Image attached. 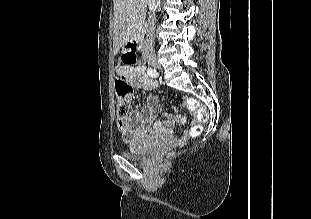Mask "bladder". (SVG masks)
<instances>
[{
  "mask_svg": "<svg viewBox=\"0 0 311 219\" xmlns=\"http://www.w3.org/2000/svg\"><path fill=\"white\" fill-rule=\"evenodd\" d=\"M152 148L150 146L143 145L141 142L130 143L128 149L123 152V156L127 159L138 160L142 157L150 154Z\"/></svg>",
  "mask_w": 311,
  "mask_h": 219,
  "instance_id": "bladder-1",
  "label": "bladder"
}]
</instances>
